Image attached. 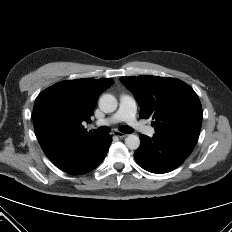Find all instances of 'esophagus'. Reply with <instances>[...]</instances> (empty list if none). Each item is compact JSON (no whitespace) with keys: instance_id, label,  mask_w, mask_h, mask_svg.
<instances>
[{"instance_id":"34e87169","label":"esophagus","mask_w":232,"mask_h":232,"mask_svg":"<svg viewBox=\"0 0 232 232\" xmlns=\"http://www.w3.org/2000/svg\"><path fill=\"white\" fill-rule=\"evenodd\" d=\"M113 135H115V136H117L119 138H125V137H127V134H124V133H122L120 131H117V130L113 132Z\"/></svg>"}]
</instances>
